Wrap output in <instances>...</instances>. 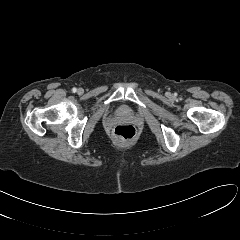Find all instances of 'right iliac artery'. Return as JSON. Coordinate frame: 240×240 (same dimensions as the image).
Masks as SVG:
<instances>
[{"label":"right iliac artery","instance_id":"right-iliac-artery-1","mask_svg":"<svg viewBox=\"0 0 240 240\" xmlns=\"http://www.w3.org/2000/svg\"><path fill=\"white\" fill-rule=\"evenodd\" d=\"M72 92H73V93L77 92V89H76L75 87L72 88Z\"/></svg>","mask_w":240,"mask_h":240}]
</instances>
